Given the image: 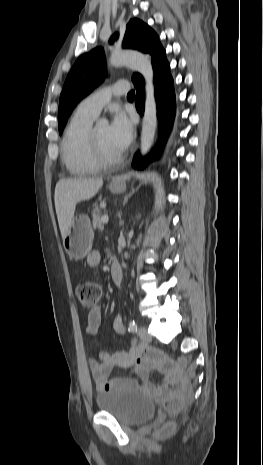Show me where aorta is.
Here are the masks:
<instances>
[{
	"label": "aorta",
	"instance_id": "aorta-1",
	"mask_svg": "<svg viewBox=\"0 0 263 465\" xmlns=\"http://www.w3.org/2000/svg\"><path fill=\"white\" fill-rule=\"evenodd\" d=\"M113 67L128 66L138 71L145 80V111L142 119L141 154L146 155L154 141L157 126V105L155 100L154 73L149 56L137 51L113 52L109 58Z\"/></svg>",
	"mask_w": 263,
	"mask_h": 465
}]
</instances>
